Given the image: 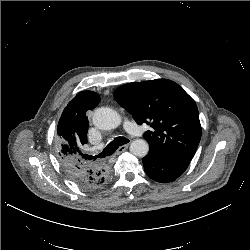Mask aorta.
<instances>
[{
    "instance_id": "1",
    "label": "aorta",
    "mask_w": 250,
    "mask_h": 250,
    "mask_svg": "<svg viewBox=\"0 0 250 250\" xmlns=\"http://www.w3.org/2000/svg\"><path fill=\"white\" fill-rule=\"evenodd\" d=\"M93 124L101 130H111L121 124V116L108 107L98 108L93 115ZM149 145L144 139H136L130 144V152L137 157H145L148 154Z\"/></svg>"
}]
</instances>
